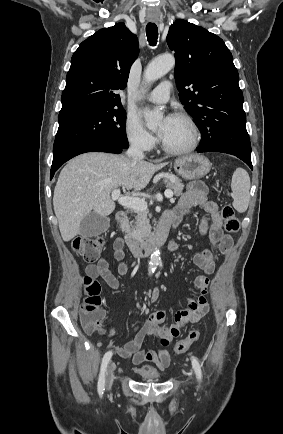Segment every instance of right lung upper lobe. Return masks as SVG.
<instances>
[{
	"mask_svg": "<svg viewBox=\"0 0 283 434\" xmlns=\"http://www.w3.org/2000/svg\"><path fill=\"white\" fill-rule=\"evenodd\" d=\"M139 53L138 39L124 23L103 28L74 52L62 92L59 116L118 108Z\"/></svg>",
	"mask_w": 283,
	"mask_h": 434,
	"instance_id": "right-lung-upper-lobe-1",
	"label": "right lung upper lobe"
}]
</instances>
